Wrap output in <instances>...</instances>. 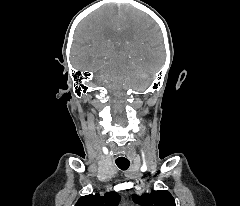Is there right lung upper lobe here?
I'll use <instances>...</instances> for the list:
<instances>
[{"mask_svg":"<svg viewBox=\"0 0 240 206\" xmlns=\"http://www.w3.org/2000/svg\"><path fill=\"white\" fill-rule=\"evenodd\" d=\"M120 196L116 192H108L104 196L90 194L82 196L75 206H117Z\"/></svg>","mask_w":240,"mask_h":206,"instance_id":"1","label":"right lung upper lobe"}]
</instances>
